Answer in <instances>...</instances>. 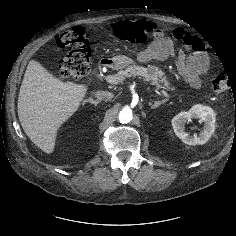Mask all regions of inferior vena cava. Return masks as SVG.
<instances>
[{
  "label": "inferior vena cava",
  "instance_id": "obj_1",
  "mask_svg": "<svg viewBox=\"0 0 236 236\" xmlns=\"http://www.w3.org/2000/svg\"><path fill=\"white\" fill-rule=\"evenodd\" d=\"M96 98L100 99V100H104V101H109L113 98V94L109 91H105V90H98L95 93Z\"/></svg>",
  "mask_w": 236,
  "mask_h": 236
}]
</instances>
